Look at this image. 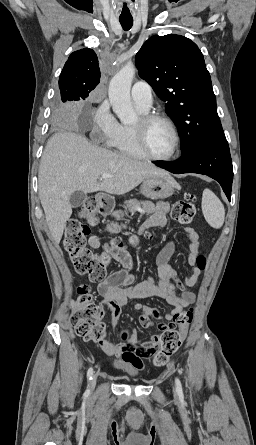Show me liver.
Wrapping results in <instances>:
<instances>
[{"instance_id": "6515ba94", "label": "liver", "mask_w": 256, "mask_h": 445, "mask_svg": "<svg viewBox=\"0 0 256 445\" xmlns=\"http://www.w3.org/2000/svg\"><path fill=\"white\" fill-rule=\"evenodd\" d=\"M104 173L113 177L98 181ZM153 176L169 175L151 164L94 146L75 132L55 133L46 144L38 174L40 201L55 244H59L71 217L72 193L122 195Z\"/></svg>"}]
</instances>
